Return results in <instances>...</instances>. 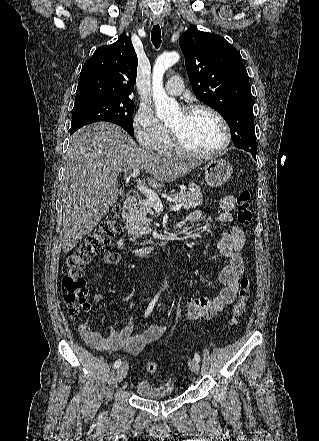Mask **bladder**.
<instances>
[{
	"mask_svg": "<svg viewBox=\"0 0 319 441\" xmlns=\"http://www.w3.org/2000/svg\"><path fill=\"white\" fill-rule=\"evenodd\" d=\"M137 392L146 398H166L175 395V385L172 381H165L160 384H154L146 379H139L136 382Z\"/></svg>",
	"mask_w": 319,
	"mask_h": 441,
	"instance_id": "31cf9c89",
	"label": "bladder"
}]
</instances>
